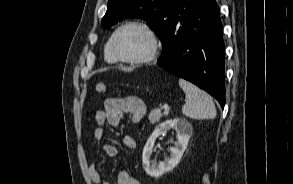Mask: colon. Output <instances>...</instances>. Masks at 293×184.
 <instances>
[{
	"instance_id": "5ec220e1",
	"label": "colon",
	"mask_w": 293,
	"mask_h": 184,
	"mask_svg": "<svg viewBox=\"0 0 293 184\" xmlns=\"http://www.w3.org/2000/svg\"><path fill=\"white\" fill-rule=\"evenodd\" d=\"M95 90L97 93H104L106 91V85L102 82H98L95 85Z\"/></svg>"
}]
</instances>
